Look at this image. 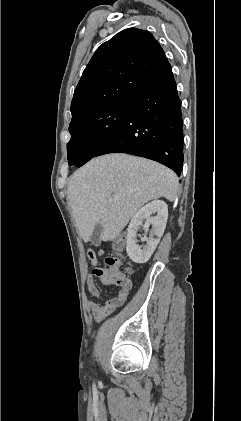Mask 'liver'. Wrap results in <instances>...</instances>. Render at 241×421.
<instances>
[{
    "label": "liver",
    "mask_w": 241,
    "mask_h": 421,
    "mask_svg": "<svg viewBox=\"0 0 241 421\" xmlns=\"http://www.w3.org/2000/svg\"><path fill=\"white\" fill-rule=\"evenodd\" d=\"M177 192L178 177L172 170L123 153L92 159L70 177L67 188L75 226L84 242L98 223L103 226V241L116 238L145 203L161 197L173 202Z\"/></svg>",
    "instance_id": "liver-1"
}]
</instances>
